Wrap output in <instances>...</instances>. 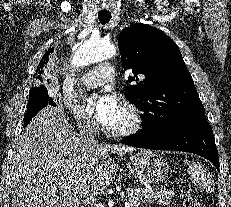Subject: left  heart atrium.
<instances>
[{
  "instance_id": "left-heart-atrium-1",
  "label": "left heart atrium",
  "mask_w": 231,
  "mask_h": 207,
  "mask_svg": "<svg viewBox=\"0 0 231 207\" xmlns=\"http://www.w3.org/2000/svg\"><path fill=\"white\" fill-rule=\"evenodd\" d=\"M97 121L104 126L109 124L119 113L122 104L116 94L104 92L92 100Z\"/></svg>"
}]
</instances>
